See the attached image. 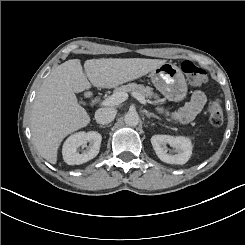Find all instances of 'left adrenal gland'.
Returning a JSON list of instances; mask_svg holds the SVG:
<instances>
[{
	"mask_svg": "<svg viewBox=\"0 0 245 245\" xmlns=\"http://www.w3.org/2000/svg\"><path fill=\"white\" fill-rule=\"evenodd\" d=\"M143 112L146 113L148 117L152 116V117L157 118L158 120H161V118L157 116L156 114H154L153 112H148L145 109L143 110Z\"/></svg>",
	"mask_w": 245,
	"mask_h": 245,
	"instance_id": "left-adrenal-gland-1",
	"label": "left adrenal gland"
}]
</instances>
